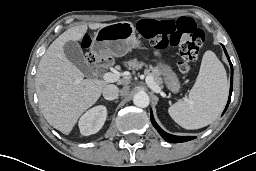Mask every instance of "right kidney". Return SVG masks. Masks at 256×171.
<instances>
[{
	"label": "right kidney",
	"instance_id": "right-kidney-1",
	"mask_svg": "<svg viewBox=\"0 0 256 171\" xmlns=\"http://www.w3.org/2000/svg\"><path fill=\"white\" fill-rule=\"evenodd\" d=\"M106 117L105 106H96L88 110L79 120L80 133L84 136L97 133L104 125Z\"/></svg>",
	"mask_w": 256,
	"mask_h": 171
}]
</instances>
